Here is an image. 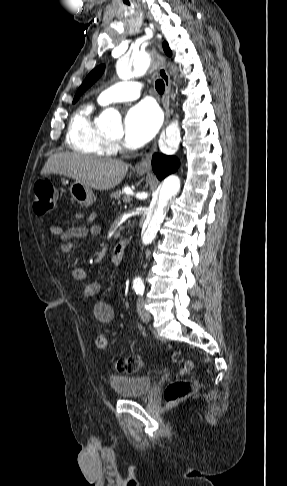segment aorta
Returning <instances> with one entry per match:
<instances>
[{"instance_id": "762f6f07", "label": "aorta", "mask_w": 287, "mask_h": 486, "mask_svg": "<svg viewBox=\"0 0 287 486\" xmlns=\"http://www.w3.org/2000/svg\"><path fill=\"white\" fill-rule=\"evenodd\" d=\"M152 64L150 55H145L139 60L135 61L132 66L126 59H120L117 62V74L121 78H130L145 72ZM97 123L104 128H119L121 127V117L114 109L104 110L98 117ZM181 141L180 128L177 121H174L166 128V138L163 146L166 149L177 150ZM178 190V184L174 179H167L163 182L158 190L156 200L150 205L147 218L143 224L141 231V240L144 245L150 244L157 235L158 230L164 220L168 205ZM134 286H142L143 282L140 278L133 281Z\"/></svg>"}]
</instances>
